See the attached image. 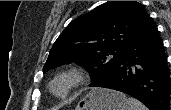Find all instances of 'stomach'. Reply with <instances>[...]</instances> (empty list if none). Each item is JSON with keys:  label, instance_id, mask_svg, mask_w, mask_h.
Returning a JSON list of instances; mask_svg holds the SVG:
<instances>
[{"label": "stomach", "instance_id": "stomach-1", "mask_svg": "<svg viewBox=\"0 0 171 110\" xmlns=\"http://www.w3.org/2000/svg\"><path fill=\"white\" fill-rule=\"evenodd\" d=\"M76 110H127V98L120 92L96 88L80 100Z\"/></svg>", "mask_w": 171, "mask_h": 110}]
</instances>
